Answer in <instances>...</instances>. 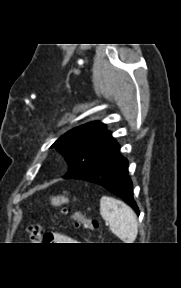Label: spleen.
Returning a JSON list of instances; mask_svg holds the SVG:
<instances>
[{
  "instance_id": "1",
  "label": "spleen",
  "mask_w": 181,
  "mask_h": 288,
  "mask_svg": "<svg viewBox=\"0 0 181 288\" xmlns=\"http://www.w3.org/2000/svg\"><path fill=\"white\" fill-rule=\"evenodd\" d=\"M100 214L110 224V230L125 243H133L138 224L133 210L120 200L109 196L100 199Z\"/></svg>"
}]
</instances>
